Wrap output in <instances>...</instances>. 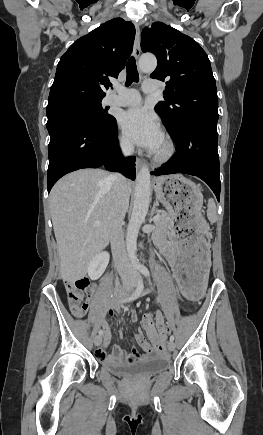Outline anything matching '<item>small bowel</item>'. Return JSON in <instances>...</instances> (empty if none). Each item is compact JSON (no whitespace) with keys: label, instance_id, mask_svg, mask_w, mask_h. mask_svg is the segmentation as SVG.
I'll use <instances>...</instances> for the list:
<instances>
[{"label":"small bowel","instance_id":"obj_1","mask_svg":"<svg viewBox=\"0 0 263 435\" xmlns=\"http://www.w3.org/2000/svg\"><path fill=\"white\" fill-rule=\"evenodd\" d=\"M156 241L159 244L162 255L170 266L173 274L174 269H176L174 265L176 261L181 260V256H178L176 249L171 244L166 243L161 237H158ZM117 311V305H114L110 308L111 315ZM130 320L132 322H136L138 320L135 312L130 313ZM142 324L148 333L150 341H153L151 345L141 332L136 334V341L144 351V354H141L136 348H132V350L127 353L118 345H112L110 351H108L107 348L111 344V330L107 321L101 319L99 321V325L101 328L100 330H102L104 334V348H101L97 351V358L102 362L134 363L143 358L150 357L154 353L155 355H164L165 349L167 348V343L162 341L166 333V326L163 316L160 313L156 314L155 316L147 313L142 317ZM120 336H123L122 332L120 333Z\"/></svg>","mask_w":263,"mask_h":435}]
</instances>
